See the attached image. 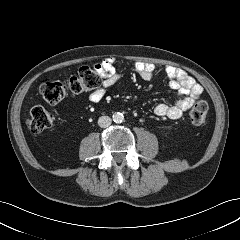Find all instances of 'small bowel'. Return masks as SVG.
<instances>
[{"label": "small bowel", "instance_id": "small-bowel-1", "mask_svg": "<svg viewBox=\"0 0 240 240\" xmlns=\"http://www.w3.org/2000/svg\"><path fill=\"white\" fill-rule=\"evenodd\" d=\"M95 69L102 77V82L90 93L89 99L92 102H99L105 96L106 91L121 79V74L116 69L114 57L103 59L95 65ZM132 71L144 80H151L155 76L156 67L153 64L138 61L134 63ZM165 72L169 79V86L177 91L179 98L173 104H157L154 113L160 117L177 119L194 105L203 88L180 68L168 65L165 67Z\"/></svg>", "mask_w": 240, "mask_h": 240}]
</instances>
